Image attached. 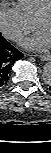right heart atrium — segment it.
Here are the masks:
<instances>
[{
	"instance_id": "right-heart-atrium-1",
	"label": "right heart atrium",
	"mask_w": 51,
	"mask_h": 153,
	"mask_svg": "<svg viewBox=\"0 0 51 153\" xmlns=\"http://www.w3.org/2000/svg\"><path fill=\"white\" fill-rule=\"evenodd\" d=\"M33 28L34 23L24 16L17 4L1 3L0 30L6 38L17 41Z\"/></svg>"
}]
</instances>
